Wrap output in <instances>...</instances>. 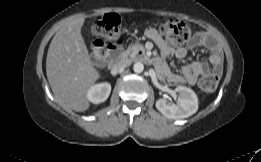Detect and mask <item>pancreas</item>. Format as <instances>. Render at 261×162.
<instances>
[{
	"label": "pancreas",
	"instance_id": "pancreas-1",
	"mask_svg": "<svg viewBox=\"0 0 261 162\" xmlns=\"http://www.w3.org/2000/svg\"><path fill=\"white\" fill-rule=\"evenodd\" d=\"M139 52H142V54H144L145 52V48L143 47L142 44L139 43L130 44L128 48L122 53V57L124 58L130 57L131 59H135Z\"/></svg>",
	"mask_w": 261,
	"mask_h": 162
}]
</instances>
